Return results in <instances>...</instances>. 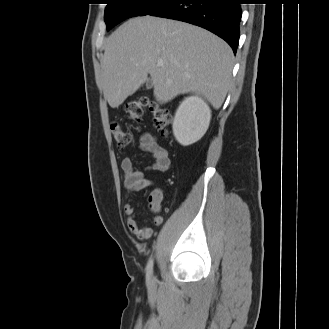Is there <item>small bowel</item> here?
Returning a JSON list of instances; mask_svg holds the SVG:
<instances>
[{
    "label": "small bowel",
    "mask_w": 329,
    "mask_h": 329,
    "mask_svg": "<svg viewBox=\"0 0 329 329\" xmlns=\"http://www.w3.org/2000/svg\"><path fill=\"white\" fill-rule=\"evenodd\" d=\"M139 144L142 151L152 156L153 163L148 169L165 172L170 168L171 160L168 151L153 135L149 133L142 134L139 138ZM121 169L124 174L125 199L127 201L124 206V212L127 215V225L139 240H148L152 236L153 230L150 227H140L138 225L132 200L135 192L152 186L153 182L142 171L133 166L132 160L129 157L122 159ZM162 199V190L155 187L148 197V206L153 213L158 214L160 212ZM153 222L155 225L160 226L163 223V218L160 215H156Z\"/></svg>",
    "instance_id": "obj_1"
}]
</instances>
